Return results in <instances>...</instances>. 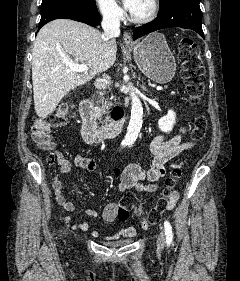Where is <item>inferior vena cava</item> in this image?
<instances>
[{
  "label": "inferior vena cava",
  "instance_id": "inferior-vena-cava-1",
  "mask_svg": "<svg viewBox=\"0 0 240 281\" xmlns=\"http://www.w3.org/2000/svg\"><path fill=\"white\" fill-rule=\"evenodd\" d=\"M102 28L104 33L102 40L104 44L115 42V38L120 35V18L117 10L113 6L104 7L102 9Z\"/></svg>",
  "mask_w": 240,
  "mask_h": 281
}]
</instances>
